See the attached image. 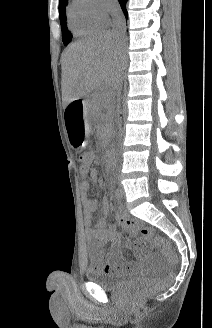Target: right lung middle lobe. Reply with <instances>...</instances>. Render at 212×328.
<instances>
[{"mask_svg": "<svg viewBox=\"0 0 212 328\" xmlns=\"http://www.w3.org/2000/svg\"><path fill=\"white\" fill-rule=\"evenodd\" d=\"M68 0H61L59 2V14H60V23H61V30H62V39L64 45H67L70 43L72 40V34L69 33L66 25V13H65V8H66V3Z\"/></svg>", "mask_w": 212, "mask_h": 328, "instance_id": "dd1d6c3e", "label": "right lung middle lobe"}]
</instances>
